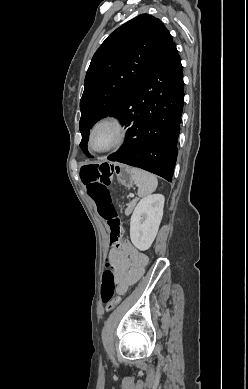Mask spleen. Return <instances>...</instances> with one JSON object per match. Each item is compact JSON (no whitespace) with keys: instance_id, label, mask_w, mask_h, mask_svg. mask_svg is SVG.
Instances as JSON below:
<instances>
[{"instance_id":"1","label":"spleen","mask_w":248,"mask_h":389,"mask_svg":"<svg viewBox=\"0 0 248 389\" xmlns=\"http://www.w3.org/2000/svg\"><path fill=\"white\" fill-rule=\"evenodd\" d=\"M129 172L134 184L138 187L139 197H146L156 190L158 181L152 173L134 167L130 168Z\"/></svg>"}]
</instances>
